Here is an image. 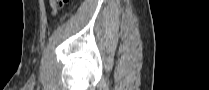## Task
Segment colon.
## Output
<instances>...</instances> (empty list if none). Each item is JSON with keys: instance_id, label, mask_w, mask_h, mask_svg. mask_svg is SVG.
<instances>
[{"instance_id": "colon-1", "label": "colon", "mask_w": 209, "mask_h": 90, "mask_svg": "<svg viewBox=\"0 0 209 90\" xmlns=\"http://www.w3.org/2000/svg\"><path fill=\"white\" fill-rule=\"evenodd\" d=\"M49 3L52 13L58 14L69 4V0H50Z\"/></svg>"}]
</instances>
